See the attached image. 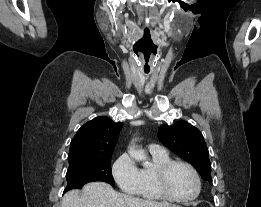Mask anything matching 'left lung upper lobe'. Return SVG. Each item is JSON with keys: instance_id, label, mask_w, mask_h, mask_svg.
<instances>
[{"instance_id": "obj_1", "label": "left lung upper lobe", "mask_w": 261, "mask_h": 207, "mask_svg": "<svg viewBox=\"0 0 261 207\" xmlns=\"http://www.w3.org/2000/svg\"><path fill=\"white\" fill-rule=\"evenodd\" d=\"M158 137L172 152L191 163L204 180L211 181L209 152L202 133L196 127L185 121L172 126L162 125Z\"/></svg>"}]
</instances>
